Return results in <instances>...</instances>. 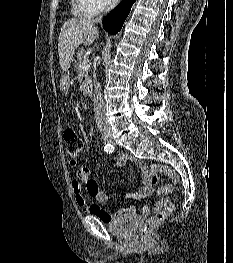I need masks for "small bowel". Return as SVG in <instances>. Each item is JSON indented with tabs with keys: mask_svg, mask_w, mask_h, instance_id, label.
I'll use <instances>...</instances> for the list:
<instances>
[{
	"mask_svg": "<svg viewBox=\"0 0 233 263\" xmlns=\"http://www.w3.org/2000/svg\"><path fill=\"white\" fill-rule=\"evenodd\" d=\"M127 160L133 162L141 173V188L138 192L128 195L129 198H145L151 195L154 191V185L152 183L151 168L143 161L135 157H127L120 154L116 158L115 166L117 168L122 167ZM76 177L78 181L71 183V188L75 197L76 203L84 210L100 220L108 223L119 217L120 214H111L99 207L96 204L88 205L83 195L81 182L85 185L87 193L99 203H104L108 200V195L100 190L97 182L90 176V168L87 165H82L76 171ZM174 187L171 184H166L158 189V194L161 198L154 204L153 210L159 211L170 203V194L173 192ZM150 209L144 207L142 213L149 214Z\"/></svg>",
	"mask_w": 233,
	"mask_h": 263,
	"instance_id": "obj_1",
	"label": "small bowel"
}]
</instances>
